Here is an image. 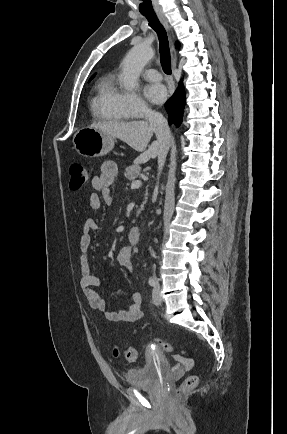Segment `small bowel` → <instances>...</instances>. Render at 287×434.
I'll list each match as a JSON object with an SVG mask.
<instances>
[{
  "label": "small bowel",
  "instance_id": "small-bowel-1",
  "mask_svg": "<svg viewBox=\"0 0 287 434\" xmlns=\"http://www.w3.org/2000/svg\"><path fill=\"white\" fill-rule=\"evenodd\" d=\"M117 175V165L114 161H104L100 167V173L94 175L91 178V187L101 192L102 196L98 193H92L88 197V205L92 210H98L102 206L103 200L109 203L111 201L109 195V188L113 184ZM101 226L92 218L87 219L83 225V231L79 237L78 247L81 251L80 258V286L85 298L88 301L89 306L102 312L105 317L111 322H134L141 318L142 297L139 292H135L131 296V304L128 309L116 312L111 311L105 301L99 296V294L93 289L96 286H102L105 284V277L94 275L90 272L88 251L91 245V232L101 231ZM116 264L126 271L132 269V248H122L115 258ZM193 366V361L184 362L185 369L189 370Z\"/></svg>",
  "mask_w": 287,
  "mask_h": 434
}]
</instances>
